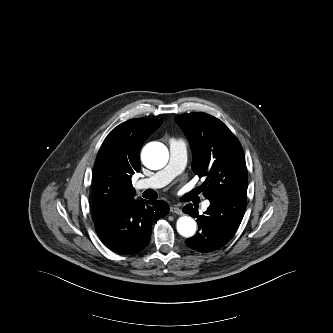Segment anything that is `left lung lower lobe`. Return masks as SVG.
<instances>
[{
    "instance_id": "obj_1",
    "label": "left lung lower lobe",
    "mask_w": 333,
    "mask_h": 333,
    "mask_svg": "<svg viewBox=\"0 0 333 333\" xmlns=\"http://www.w3.org/2000/svg\"><path fill=\"white\" fill-rule=\"evenodd\" d=\"M247 194H221L210 198V206L200 215L197 206L188 204L183 208L197 218L199 230L185 243L200 252L215 251L224 246L237 231L246 207Z\"/></svg>"
}]
</instances>
